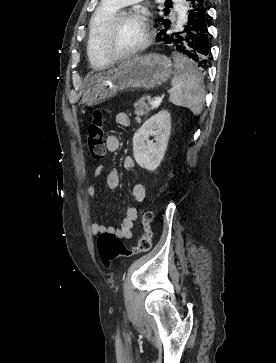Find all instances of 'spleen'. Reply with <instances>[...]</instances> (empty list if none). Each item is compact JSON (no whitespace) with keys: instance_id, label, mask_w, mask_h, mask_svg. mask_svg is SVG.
<instances>
[{"instance_id":"1","label":"spleen","mask_w":276,"mask_h":363,"mask_svg":"<svg viewBox=\"0 0 276 363\" xmlns=\"http://www.w3.org/2000/svg\"><path fill=\"white\" fill-rule=\"evenodd\" d=\"M175 74L172 79L170 101L176 106L190 109L199 115L203 109L205 89L203 77L196 66L179 53L173 54Z\"/></svg>"}]
</instances>
